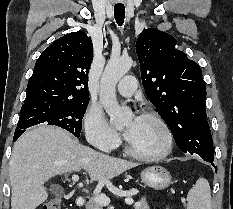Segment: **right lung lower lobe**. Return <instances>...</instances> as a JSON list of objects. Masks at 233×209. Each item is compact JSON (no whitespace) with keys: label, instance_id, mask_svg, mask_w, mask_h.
Segmentation results:
<instances>
[{"label":"right lung lower lobe","instance_id":"obj_1","mask_svg":"<svg viewBox=\"0 0 233 209\" xmlns=\"http://www.w3.org/2000/svg\"><path fill=\"white\" fill-rule=\"evenodd\" d=\"M22 134V133H21ZM20 133H14V141H16L18 138H19V136L21 135Z\"/></svg>","mask_w":233,"mask_h":209}]
</instances>
